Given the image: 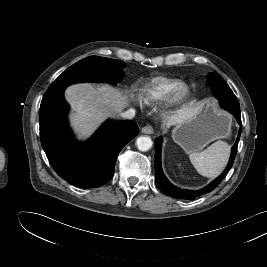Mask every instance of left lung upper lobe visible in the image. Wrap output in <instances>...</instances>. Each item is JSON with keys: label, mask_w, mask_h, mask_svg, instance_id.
<instances>
[{"label": "left lung upper lobe", "mask_w": 267, "mask_h": 267, "mask_svg": "<svg viewBox=\"0 0 267 267\" xmlns=\"http://www.w3.org/2000/svg\"><path fill=\"white\" fill-rule=\"evenodd\" d=\"M208 83L217 99H220L222 96L227 97L233 93L223 78L217 74H212L211 77H208Z\"/></svg>", "instance_id": "obj_1"}]
</instances>
